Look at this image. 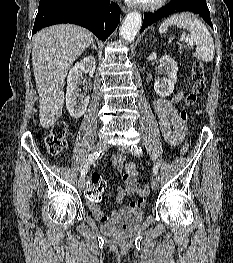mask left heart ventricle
I'll return each instance as SVG.
<instances>
[{
	"label": "left heart ventricle",
	"mask_w": 233,
	"mask_h": 263,
	"mask_svg": "<svg viewBox=\"0 0 233 263\" xmlns=\"http://www.w3.org/2000/svg\"><path fill=\"white\" fill-rule=\"evenodd\" d=\"M149 1H152V0H145V2H149Z\"/></svg>",
	"instance_id": "obj_1"
}]
</instances>
